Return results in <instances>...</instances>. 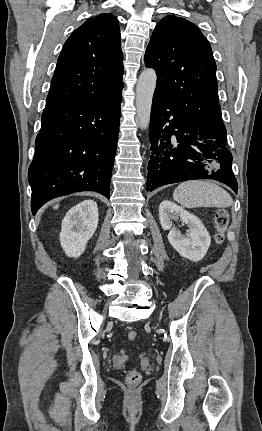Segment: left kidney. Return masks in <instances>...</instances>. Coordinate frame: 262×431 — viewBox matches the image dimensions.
Returning a JSON list of instances; mask_svg holds the SVG:
<instances>
[{
	"instance_id": "obj_1",
	"label": "left kidney",
	"mask_w": 262,
	"mask_h": 431,
	"mask_svg": "<svg viewBox=\"0 0 262 431\" xmlns=\"http://www.w3.org/2000/svg\"><path fill=\"white\" fill-rule=\"evenodd\" d=\"M159 219L162 228L169 230L168 241L182 257L195 262L203 259L209 249L211 238L196 216L173 202L164 200L159 206ZM178 219L189 228L185 235L173 227L172 220Z\"/></svg>"
}]
</instances>
